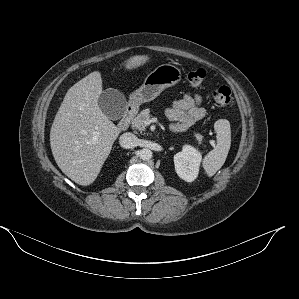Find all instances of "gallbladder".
<instances>
[{
	"instance_id": "gallbladder-1",
	"label": "gallbladder",
	"mask_w": 299,
	"mask_h": 299,
	"mask_svg": "<svg viewBox=\"0 0 299 299\" xmlns=\"http://www.w3.org/2000/svg\"><path fill=\"white\" fill-rule=\"evenodd\" d=\"M126 103L124 94L113 88L103 90L98 99L100 109L111 120H118L123 116Z\"/></svg>"
}]
</instances>
